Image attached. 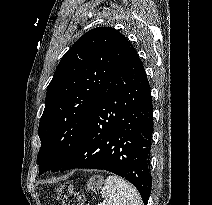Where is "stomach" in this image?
I'll return each instance as SVG.
<instances>
[{"label":"stomach","instance_id":"1","mask_svg":"<svg viewBox=\"0 0 212 205\" xmlns=\"http://www.w3.org/2000/svg\"><path fill=\"white\" fill-rule=\"evenodd\" d=\"M102 185H103V178L100 176H94L88 180L87 189L97 192L102 188Z\"/></svg>","mask_w":212,"mask_h":205}]
</instances>
